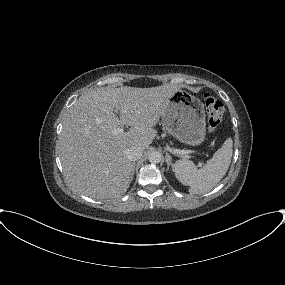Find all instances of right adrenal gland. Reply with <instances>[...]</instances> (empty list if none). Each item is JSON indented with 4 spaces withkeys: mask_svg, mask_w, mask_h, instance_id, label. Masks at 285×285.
Segmentation results:
<instances>
[{
    "mask_svg": "<svg viewBox=\"0 0 285 285\" xmlns=\"http://www.w3.org/2000/svg\"><path fill=\"white\" fill-rule=\"evenodd\" d=\"M135 163H133V166H132V173H131V181L133 180V177H134V171H135Z\"/></svg>",
    "mask_w": 285,
    "mask_h": 285,
    "instance_id": "1",
    "label": "right adrenal gland"
}]
</instances>
